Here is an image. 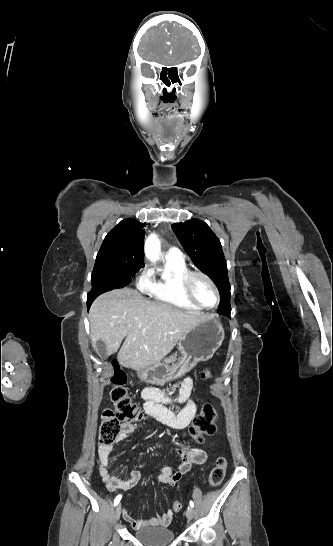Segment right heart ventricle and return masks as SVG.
<instances>
[{"label": "right heart ventricle", "instance_id": "obj_1", "mask_svg": "<svg viewBox=\"0 0 333 546\" xmlns=\"http://www.w3.org/2000/svg\"><path fill=\"white\" fill-rule=\"evenodd\" d=\"M188 271L183 260L166 259L165 264L156 281L154 299L161 304L170 305L187 311H200V307L190 302L181 289V278Z\"/></svg>", "mask_w": 333, "mask_h": 546}]
</instances>
